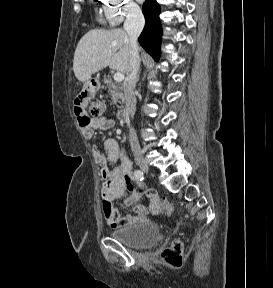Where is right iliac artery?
Masks as SVG:
<instances>
[{
  "label": "right iliac artery",
  "mask_w": 273,
  "mask_h": 288,
  "mask_svg": "<svg viewBox=\"0 0 273 288\" xmlns=\"http://www.w3.org/2000/svg\"><path fill=\"white\" fill-rule=\"evenodd\" d=\"M134 176L137 180H140V181L144 179V174L141 170H135Z\"/></svg>",
  "instance_id": "obj_1"
}]
</instances>
